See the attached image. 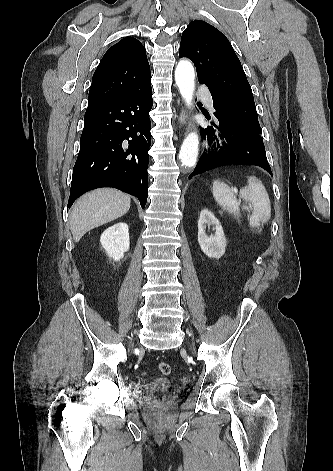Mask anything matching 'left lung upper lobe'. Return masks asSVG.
<instances>
[{"instance_id":"5c2ea615","label":"left lung upper lobe","mask_w":333,"mask_h":471,"mask_svg":"<svg viewBox=\"0 0 333 471\" xmlns=\"http://www.w3.org/2000/svg\"><path fill=\"white\" fill-rule=\"evenodd\" d=\"M179 56L192 60L198 81L208 86L221 115L261 137L251 87L230 42L219 30L201 20L191 21L182 34Z\"/></svg>"}]
</instances>
